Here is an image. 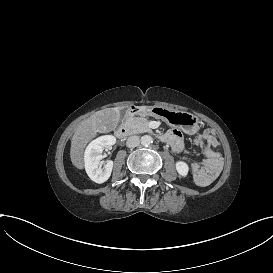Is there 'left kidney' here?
Instances as JSON below:
<instances>
[{
    "label": "left kidney",
    "mask_w": 273,
    "mask_h": 273,
    "mask_svg": "<svg viewBox=\"0 0 273 273\" xmlns=\"http://www.w3.org/2000/svg\"><path fill=\"white\" fill-rule=\"evenodd\" d=\"M175 169H176V172L178 173V175H180L183 178L188 176L189 170H190L187 162L182 161V160L175 161Z\"/></svg>",
    "instance_id": "obj_1"
}]
</instances>
